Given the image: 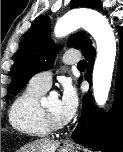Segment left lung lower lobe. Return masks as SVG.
<instances>
[{
  "mask_svg": "<svg viewBox=\"0 0 123 152\" xmlns=\"http://www.w3.org/2000/svg\"><path fill=\"white\" fill-rule=\"evenodd\" d=\"M120 35L121 53L118 59L116 75L115 105L109 116L103 115L95 104L90 93L83 97L82 115L72 138L77 143L93 150L102 152H119L123 143V28H118ZM84 57L89 61L85 79L91 83L92 67L95 50L91 41L82 50Z\"/></svg>",
  "mask_w": 123,
  "mask_h": 152,
  "instance_id": "obj_1",
  "label": "left lung lower lobe"
}]
</instances>
